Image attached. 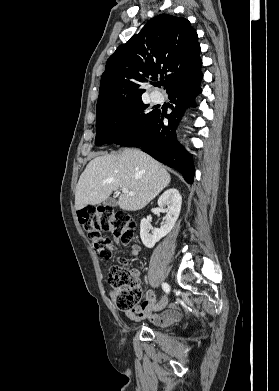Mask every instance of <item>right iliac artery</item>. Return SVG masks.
I'll return each mask as SVG.
<instances>
[{
    "instance_id": "1",
    "label": "right iliac artery",
    "mask_w": 279,
    "mask_h": 391,
    "mask_svg": "<svg viewBox=\"0 0 279 391\" xmlns=\"http://www.w3.org/2000/svg\"><path fill=\"white\" fill-rule=\"evenodd\" d=\"M162 288L166 293H169L170 291V286L167 283L162 284Z\"/></svg>"
}]
</instances>
